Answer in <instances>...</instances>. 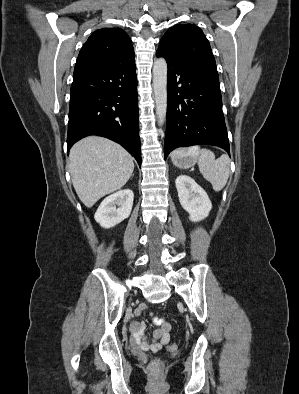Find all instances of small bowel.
Here are the masks:
<instances>
[{"label": "small bowel", "mask_w": 299, "mask_h": 394, "mask_svg": "<svg viewBox=\"0 0 299 394\" xmlns=\"http://www.w3.org/2000/svg\"><path fill=\"white\" fill-rule=\"evenodd\" d=\"M147 310L145 304L140 305L135 311L136 316H141ZM154 323L158 326L149 340L145 335V323L142 321L133 322L130 326L131 342L136 350L143 352H157L170 342L171 326L163 319L154 317Z\"/></svg>", "instance_id": "c3829d8e"}]
</instances>
